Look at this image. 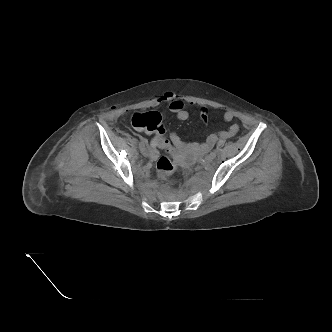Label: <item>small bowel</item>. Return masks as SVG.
I'll return each mask as SVG.
<instances>
[{
    "label": "small bowel",
    "mask_w": 332,
    "mask_h": 332,
    "mask_svg": "<svg viewBox=\"0 0 332 332\" xmlns=\"http://www.w3.org/2000/svg\"><path fill=\"white\" fill-rule=\"evenodd\" d=\"M161 101H165L169 103V109L172 113L175 114L176 118L180 121H185L189 118V111L185 108L184 101L172 92L165 93ZM200 118L201 120L206 123L208 120V110L206 108L200 109ZM235 118V114L231 110H226L223 114V119L225 122H231ZM239 131V126L237 124H232L228 127L227 130L221 131L219 133L209 134L203 143H185L176 133L170 134V141L172 144L183 150H190L193 152L201 153L211 149L216 141L220 138L227 139L235 136ZM158 142L157 139L154 137L151 141V145L148 149L145 150V155L156 158L158 156Z\"/></svg>",
    "instance_id": "c3829d8e"
}]
</instances>
